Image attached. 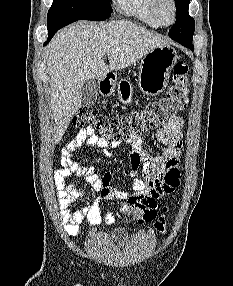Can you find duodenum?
Returning <instances> with one entry per match:
<instances>
[{"label": "duodenum", "mask_w": 233, "mask_h": 286, "mask_svg": "<svg viewBox=\"0 0 233 286\" xmlns=\"http://www.w3.org/2000/svg\"><path fill=\"white\" fill-rule=\"evenodd\" d=\"M111 79V76H107V80Z\"/></svg>", "instance_id": "duodenum-1"}]
</instances>
